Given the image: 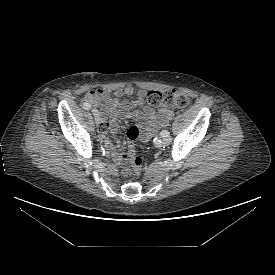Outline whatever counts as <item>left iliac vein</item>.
<instances>
[{
    "instance_id": "left-iliac-vein-1",
    "label": "left iliac vein",
    "mask_w": 275,
    "mask_h": 275,
    "mask_svg": "<svg viewBox=\"0 0 275 275\" xmlns=\"http://www.w3.org/2000/svg\"><path fill=\"white\" fill-rule=\"evenodd\" d=\"M170 141H171L170 136H164V137H162V144L163 145H166V146L169 145Z\"/></svg>"
}]
</instances>
